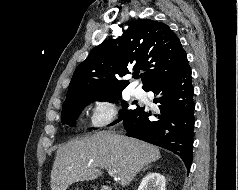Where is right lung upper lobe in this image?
Masks as SVG:
<instances>
[{
	"mask_svg": "<svg viewBox=\"0 0 238 190\" xmlns=\"http://www.w3.org/2000/svg\"><path fill=\"white\" fill-rule=\"evenodd\" d=\"M186 60V52L169 26L151 19L131 21L121 37L93 48L77 67L66 100L81 94H120L129 84L121 78L141 70L146 91L176 73Z\"/></svg>",
	"mask_w": 238,
	"mask_h": 190,
	"instance_id": "right-lung-upper-lobe-1",
	"label": "right lung upper lobe"
}]
</instances>
